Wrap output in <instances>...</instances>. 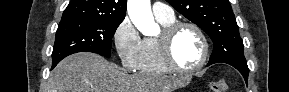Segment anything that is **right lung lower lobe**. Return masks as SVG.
I'll use <instances>...</instances> for the list:
<instances>
[{"instance_id":"1","label":"right lung lower lobe","mask_w":289,"mask_h":92,"mask_svg":"<svg viewBox=\"0 0 289 92\" xmlns=\"http://www.w3.org/2000/svg\"><path fill=\"white\" fill-rule=\"evenodd\" d=\"M56 65H52V69L55 67Z\"/></svg>"}]
</instances>
